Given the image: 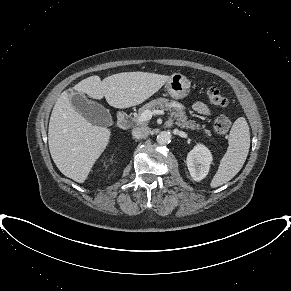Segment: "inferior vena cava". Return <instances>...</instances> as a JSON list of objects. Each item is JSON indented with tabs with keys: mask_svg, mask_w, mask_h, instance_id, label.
I'll use <instances>...</instances> for the list:
<instances>
[{
	"mask_svg": "<svg viewBox=\"0 0 291 291\" xmlns=\"http://www.w3.org/2000/svg\"><path fill=\"white\" fill-rule=\"evenodd\" d=\"M151 129L147 126L137 127L132 130V136L136 139H143L150 135Z\"/></svg>",
	"mask_w": 291,
	"mask_h": 291,
	"instance_id": "1",
	"label": "inferior vena cava"
}]
</instances>
